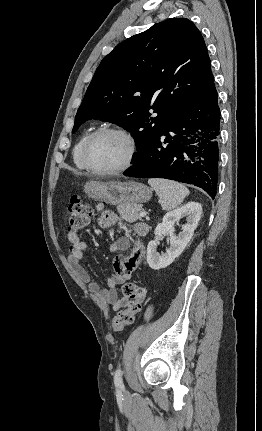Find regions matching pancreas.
Returning <instances> with one entry per match:
<instances>
[{
    "label": "pancreas",
    "mask_w": 262,
    "mask_h": 431,
    "mask_svg": "<svg viewBox=\"0 0 262 431\" xmlns=\"http://www.w3.org/2000/svg\"><path fill=\"white\" fill-rule=\"evenodd\" d=\"M117 210L121 217L128 222H134L141 218L140 212L142 211V207L139 205H119Z\"/></svg>",
    "instance_id": "pancreas-1"
}]
</instances>
